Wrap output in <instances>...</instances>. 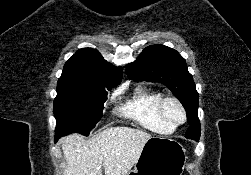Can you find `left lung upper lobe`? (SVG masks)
Returning <instances> with one entry per match:
<instances>
[{"label": "left lung upper lobe", "instance_id": "5c2ea615", "mask_svg": "<svg viewBox=\"0 0 251 175\" xmlns=\"http://www.w3.org/2000/svg\"><path fill=\"white\" fill-rule=\"evenodd\" d=\"M126 74L135 81L164 84L186 110L189 128L185 137L199 140L198 92L185 59L176 50L160 44L148 46L135 62L127 65Z\"/></svg>", "mask_w": 251, "mask_h": 175}]
</instances>
